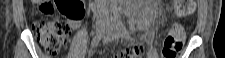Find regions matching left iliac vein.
Segmentation results:
<instances>
[{"instance_id":"1","label":"left iliac vein","mask_w":225,"mask_h":58,"mask_svg":"<svg viewBox=\"0 0 225 58\" xmlns=\"http://www.w3.org/2000/svg\"><path fill=\"white\" fill-rule=\"evenodd\" d=\"M120 19H108L107 20V24H106V36L108 37V39L110 40H118L121 36V32L118 29V21Z\"/></svg>"}]
</instances>
